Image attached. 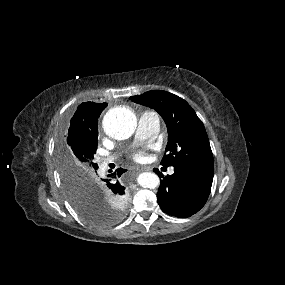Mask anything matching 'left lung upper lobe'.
Segmentation results:
<instances>
[{"label": "left lung upper lobe", "mask_w": 285, "mask_h": 285, "mask_svg": "<svg viewBox=\"0 0 285 285\" xmlns=\"http://www.w3.org/2000/svg\"><path fill=\"white\" fill-rule=\"evenodd\" d=\"M130 99L155 109L166 123L168 144L161 165L214 168L204 125L185 100L162 90L148 91Z\"/></svg>", "instance_id": "left-lung-upper-lobe-1"}]
</instances>
